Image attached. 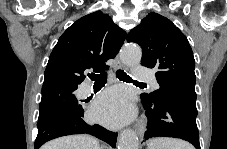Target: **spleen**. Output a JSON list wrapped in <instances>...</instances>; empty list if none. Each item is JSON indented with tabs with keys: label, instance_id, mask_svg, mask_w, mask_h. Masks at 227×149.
Instances as JSON below:
<instances>
[{
	"label": "spleen",
	"instance_id": "obj_1",
	"mask_svg": "<svg viewBox=\"0 0 227 149\" xmlns=\"http://www.w3.org/2000/svg\"><path fill=\"white\" fill-rule=\"evenodd\" d=\"M147 149H192V146L181 140L160 137L152 139Z\"/></svg>",
	"mask_w": 227,
	"mask_h": 149
}]
</instances>
